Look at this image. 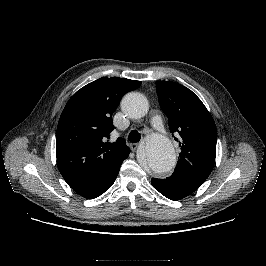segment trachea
I'll return each mask as SVG.
<instances>
[{
    "mask_svg": "<svg viewBox=\"0 0 266 266\" xmlns=\"http://www.w3.org/2000/svg\"><path fill=\"white\" fill-rule=\"evenodd\" d=\"M128 139H129L130 142L136 143V142H139L140 141L141 136H140V134L137 131L132 130L129 133Z\"/></svg>",
    "mask_w": 266,
    "mask_h": 266,
    "instance_id": "1",
    "label": "trachea"
}]
</instances>
